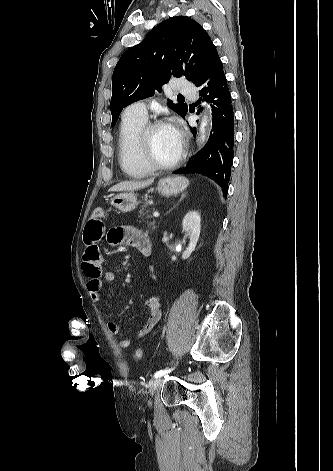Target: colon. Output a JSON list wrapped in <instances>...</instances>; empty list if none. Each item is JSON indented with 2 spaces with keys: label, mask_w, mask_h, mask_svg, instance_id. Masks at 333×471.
<instances>
[{
  "label": "colon",
  "mask_w": 333,
  "mask_h": 471,
  "mask_svg": "<svg viewBox=\"0 0 333 471\" xmlns=\"http://www.w3.org/2000/svg\"><path fill=\"white\" fill-rule=\"evenodd\" d=\"M104 215V210L101 207L95 208L92 212V217L94 218H100ZM143 356V350L141 348H137L135 350V357L137 359H141Z\"/></svg>",
  "instance_id": "obj_1"
}]
</instances>
